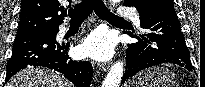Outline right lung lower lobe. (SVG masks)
Here are the masks:
<instances>
[{"label": "right lung lower lobe", "mask_w": 205, "mask_h": 87, "mask_svg": "<svg viewBox=\"0 0 205 87\" xmlns=\"http://www.w3.org/2000/svg\"><path fill=\"white\" fill-rule=\"evenodd\" d=\"M59 29H48L17 34L12 57L7 63L5 83L19 70L27 66H42L64 75L76 87H89L93 68L89 61L76 62L69 58V43H59Z\"/></svg>", "instance_id": "98d812e1"}]
</instances>
